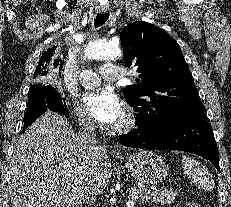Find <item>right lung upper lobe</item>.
I'll list each match as a JSON object with an SVG mask.
<instances>
[{"label":"right lung upper lobe","instance_id":"right-lung-upper-lobe-1","mask_svg":"<svg viewBox=\"0 0 231 207\" xmlns=\"http://www.w3.org/2000/svg\"><path fill=\"white\" fill-rule=\"evenodd\" d=\"M56 48L57 46H53L43 53L35 70V77H39L40 75L46 74V68L53 62L52 56L55 53ZM57 60L59 61V59Z\"/></svg>","mask_w":231,"mask_h":207}]
</instances>
